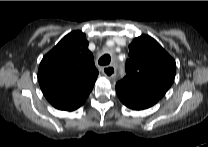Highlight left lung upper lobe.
Wrapping results in <instances>:
<instances>
[{"label":"left lung upper lobe","mask_w":208,"mask_h":147,"mask_svg":"<svg viewBox=\"0 0 208 147\" xmlns=\"http://www.w3.org/2000/svg\"><path fill=\"white\" fill-rule=\"evenodd\" d=\"M176 63L161 45L141 35L129 45L126 76L118 83L162 98L175 78Z\"/></svg>","instance_id":"left-lung-upper-lobe-1"}]
</instances>
